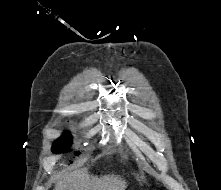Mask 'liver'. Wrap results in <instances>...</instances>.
I'll return each mask as SVG.
<instances>
[{"instance_id": "1", "label": "liver", "mask_w": 221, "mask_h": 190, "mask_svg": "<svg viewBox=\"0 0 221 190\" xmlns=\"http://www.w3.org/2000/svg\"><path fill=\"white\" fill-rule=\"evenodd\" d=\"M54 190H125L127 182L118 175L93 176L88 169L58 174Z\"/></svg>"}]
</instances>
